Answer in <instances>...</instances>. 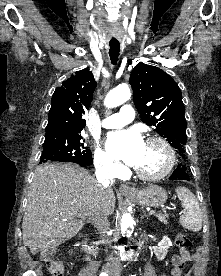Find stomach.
I'll list each match as a JSON object with an SVG mask.
<instances>
[{"instance_id": "obj_1", "label": "stomach", "mask_w": 221, "mask_h": 276, "mask_svg": "<svg viewBox=\"0 0 221 276\" xmlns=\"http://www.w3.org/2000/svg\"><path fill=\"white\" fill-rule=\"evenodd\" d=\"M138 205L159 207L167 200L165 189L158 185H149L146 188L136 191L133 195L126 196Z\"/></svg>"}]
</instances>
